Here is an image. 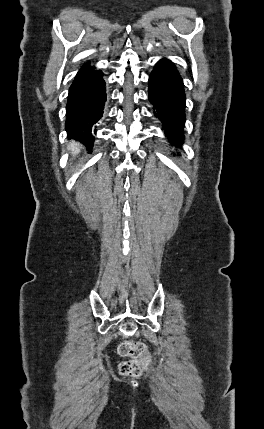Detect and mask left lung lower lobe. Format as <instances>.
<instances>
[{
  "label": "left lung lower lobe",
  "mask_w": 264,
  "mask_h": 429,
  "mask_svg": "<svg viewBox=\"0 0 264 429\" xmlns=\"http://www.w3.org/2000/svg\"><path fill=\"white\" fill-rule=\"evenodd\" d=\"M183 81L168 59L156 63L149 78V100L154 114L164 124L165 134L172 145H180L185 124V93Z\"/></svg>",
  "instance_id": "obj_1"
}]
</instances>
